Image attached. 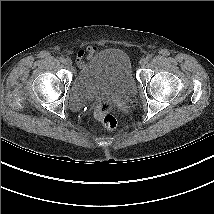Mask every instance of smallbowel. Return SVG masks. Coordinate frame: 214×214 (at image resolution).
I'll list each match as a JSON object with an SVG mask.
<instances>
[{"label":"small bowel","mask_w":214,"mask_h":214,"mask_svg":"<svg viewBox=\"0 0 214 214\" xmlns=\"http://www.w3.org/2000/svg\"><path fill=\"white\" fill-rule=\"evenodd\" d=\"M97 48L95 46H88L85 49H81L77 52L76 63L78 67H82L86 60H91L97 54Z\"/></svg>","instance_id":"1"}]
</instances>
